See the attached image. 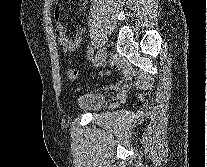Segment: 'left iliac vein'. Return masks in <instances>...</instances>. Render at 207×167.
Segmentation results:
<instances>
[{
	"mask_svg": "<svg viewBox=\"0 0 207 167\" xmlns=\"http://www.w3.org/2000/svg\"><path fill=\"white\" fill-rule=\"evenodd\" d=\"M107 59V51L105 50V48H101L98 50L96 57H95V66L96 67H100L102 66Z\"/></svg>",
	"mask_w": 207,
	"mask_h": 167,
	"instance_id": "1",
	"label": "left iliac vein"
}]
</instances>
